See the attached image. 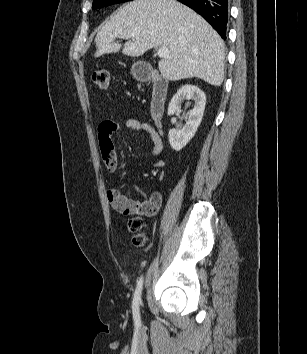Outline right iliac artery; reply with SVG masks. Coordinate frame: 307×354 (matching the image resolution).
I'll list each match as a JSON object with an SVG mask.
<instances>
[{
  "label": "right iliac artery",
  "instance_id": "right-iliac-artery-1",
  "mask_svg": "<svg viewBox=\"0 0 307 354\" xmlns=\"http://www.w3.org/2000/svg\"><path fill=\"white\" fill-rule=\"evenodd\" d=\"M142 286H143V276L139 278L133 301H132V311H133V318L136 323L140 321V313H139V303L141 300V292H142Z\"/></svg>",
  "mask_w": 307,
  "mask_h": 354
}]
</instances>
